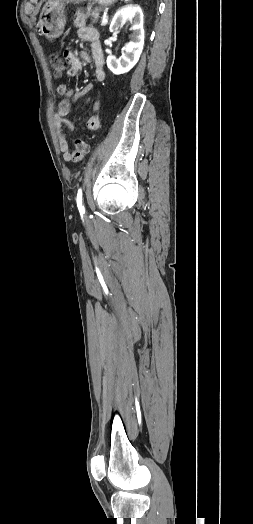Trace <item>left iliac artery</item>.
<instances>
[{"mask_svg": "<svg viewBox=\"0 0 253 524\" xmlns=\"http://www.w3.org/2000/svg\"><path fill=\"white\" fill-rule=\"evenodd\" d=\"M76 202H77V207L79 209V212L81 214H84L85 209H84V206L82 205V189L81 188L78 190Z\"/></svg>", "mask_w": 253, "mask_h": 524, "instance_id": "1", "label": "left iliac artery"}]
</instances>
